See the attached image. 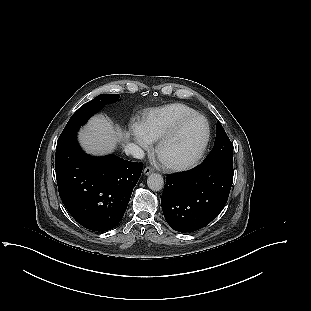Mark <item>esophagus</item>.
<instances>
[{
  "instance_id": "1",
  "label": "esophagus",
  "mask_w": 311,
  "mask_h": 311,
  "mask_svg": "<svg viewBox=\"0 0 311 311\" xmlns=\"http://www.w3.org/2000/svg\"><path fill=\"white\" fill-rule=\"evenodd\" d=\"M153 168L152 167H150V166H147L145 169H144V174L145 175H149L150 173H152L153 172Z\"/></svg>"
}]
</instances>
